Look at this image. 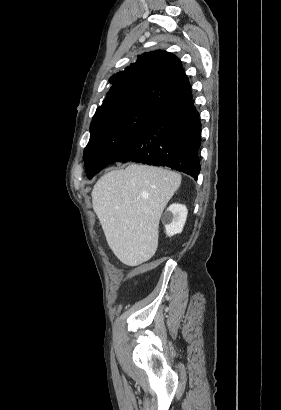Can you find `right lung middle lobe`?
Listing matches in <instances>:
<instances>
[{
  "instance_id": "dd1d6c3e",
  "label": "right lung middle lobe",
  "mask_w": 281,
  "mask_h": 410,
  "mask_svg": "<svg viewBox=\"0 0 281 410\" xmlns=\"http://www.w3.org/2000/svg\"><path fill=\"white\" fill-rule=\"evenodd\" d=\"M163 109L145 103L115 105L95 113L84 150L86 174H94L118 158Z\"/></svg>"
}]
</instances>
